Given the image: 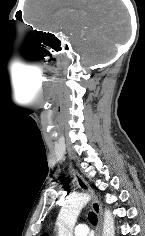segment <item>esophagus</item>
<instances>
[{
	"label": "esophagus",
	"mask_w": 145,
	"mask_h": 236,
	"mask_svg": "<svg viewBox=\"0 0 145 236\" xmlns=\"http://www.w3.org/2000/svg\"><path fill=\"white\" fill-rule=\"evenodd\" d=\"M72 176L76 181L77 185L85 192L92 195L91 206L98 217V226H97V236H101L102 234V226H103V213L102 207L98 200L93 196V190L89 186V184L85 181V179L73 168H71Z\"/></svg>",
	"instance_id": "esophagus-1"
}]
</instances>
